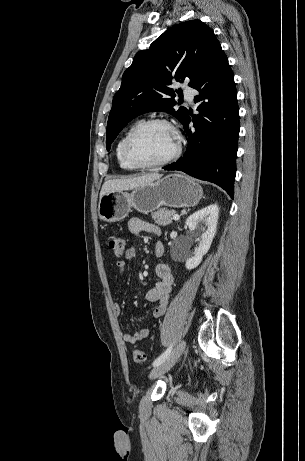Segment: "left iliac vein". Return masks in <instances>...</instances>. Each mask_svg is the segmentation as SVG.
<instances>
[{"label": "left iliac vein", "instance_id": "1", "mask_svg": "<svg viewBox=\"0 0 305 461\" xmlns=\"http://www.w3.org/2000/svg\"><path fill=\"white\" fill-rule=\"evenodd\" d=\"M186 347V342L183 340L181 341L174 350L168 355V357L158 366L154 367L150 372V379L158 378L159 376L166 373L170 368L174 366V364L179 359L180 355L183 353Z\"/></svg>", "mask_w": 305, "mask_h": 461}]
</instances>
